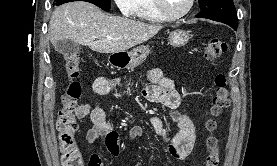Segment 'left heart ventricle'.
I'll return each instance as SVG.
<instances>
[{"instance_id": "obj_1", "label": "left heart ventricle", "mask_w": 277, "mask_h": 166, "mask_svg": "<svg viewBox=\"0 0 277 166\" xmlns=\"http://www.w3.org/2000/svg\"><path fill=\"white\" fill-rule=\"evenodd\" d=\"M166 8L171 13L181 12L187 5L188 0H164Z\"/></svg>"}]
</instances>
